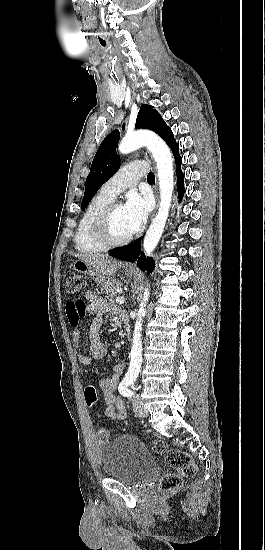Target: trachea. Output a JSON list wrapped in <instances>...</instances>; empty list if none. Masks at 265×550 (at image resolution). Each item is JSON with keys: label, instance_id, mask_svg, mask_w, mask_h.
Wrapping results in <instances>:
<instances>
[{"label": "trachea", "instance_id": "obj_1", "mask_svg": "<svg viewBox=\"0 0 265 550\" xmlns=\"http://www.w3.org/2000/svg\"><path fill=\"white\" fill-rule=\"evenodd\" d=\"M147 181H148V182H155V175H154V173L150 172V173L147 175Z\"/></svg>", "mask_w": 265, "mask_h": 550}]
</instances>
